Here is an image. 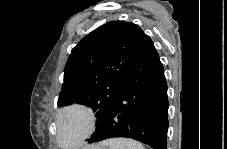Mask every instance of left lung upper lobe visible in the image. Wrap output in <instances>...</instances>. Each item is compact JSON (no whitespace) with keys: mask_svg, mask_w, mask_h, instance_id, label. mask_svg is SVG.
<instances>
[{"mask_svg":"<svg viewBox=\"0 0 227 149\" xmlns=\"http://www.w3.org/2000/svg\"><path fill=\"white\" fill-rule=\"evenodd\" d=\"M143 35L131 22L111 21L84 37L65 66L58 104L91 107L97 126L118 96Z\"/></svg>","mask_w":227,"mask_h":149,"instance_id":"1","label":"left lung upper lobe"}]
</instances>
